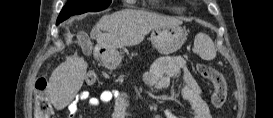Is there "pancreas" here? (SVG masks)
Masks as SVG:
<instances>
[{"label": "pancreas", "instance_id": "obj_1", "mask_svg": "<svg viewBox=\"0 0 273 118\" xmlns=\"http://www.w3.org/2000/svg\"><path fill=\"white\" fill-rule=\"evenodd\" d=\"M135 55H136L135 53H132L130 58H132V57L135 56Z\"/></svg>", "mask_w": 273, "mask_h": 118}]
</instances>
